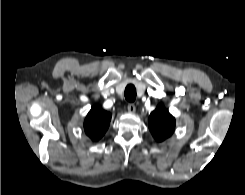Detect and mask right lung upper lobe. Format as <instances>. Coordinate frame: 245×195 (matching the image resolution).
<instances>
[{"mask_svg": "<svg viewBox=\"0 0 245 195\" xmlns=\"http://www.w3.org/2000/svg\"><path fill=\"white\" fill-rule=\"evenodd\" d=\"M111 114L102 110L100 106H94L86 116L84 129L93 140H99L109 127Z\"/></svg>", "mask_w": 245, "mask_h": 195, "instance_id": "cb5924a9", "label": "right lung upper lobe"}]
</instances>
